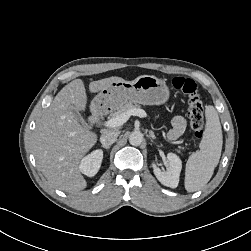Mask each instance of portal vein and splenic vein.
<instances>
[{
	"label": "portal vein and splenic vein",
	"mask_w": 251,
	"mask_h": 251,
	"mask_svg": "<svg viewBox=\"0 0 251 251\" xmlns=\"http://www.w3.org/2000/svg\"><path fill=\"white\" fill-rule=\"evenodd\" d=\"M132 115L144 118V117H146V112L143 109L134 108V109L128 110V111H126L116 117L109 119L108 121H106L104 123V126L107 128H116V127L122 126L124 123H126L128 121V119Z\"/></svg>",
	"instance_id": "obj_1"
}]
</instances>
